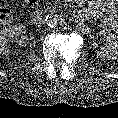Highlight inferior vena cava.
I'll use <instances>...</instances> for the list:
<instances>
[{
  "label": "inferior vena cava",
  "mask_w": 118,
  "mask_h": 118,
  "mask_svg": "<svg viewBox=\"0 0 118 118\" xmlns=\"http://www.w3.org/2000/svg\"><path fill=\"white\" fill-rule=\"evenodd\" d=\"M45 21V17H39L38 19H35L34 20V24L36 25V26H40L43 22Z\"/></svg>",
  "instance_id": "obj_1"
}]
</instances>
